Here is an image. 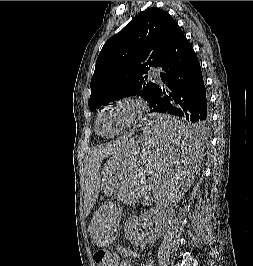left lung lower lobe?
Masks as SVG:
<instances>
[{
  "label": "left lung lower lobe",
  "instance_id": "obj_1",
  "mask_svg": "<svg viewBox=\"0 0 253 266\" xmlns=\"http://www.w3.org/2000/svg\"><path fill=\"white\" fill-rule=\"evenodd\" d=\"M161 80L155 84L151 112L182 118L176 125L162 124L152 128L158 135L174 141L199 140L210 124L206 90L198 58L176 24L159 58Z\"/></svg>",
  "mask_w": 253,
  "mask_h": 266
}]
</instances>
